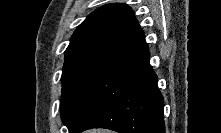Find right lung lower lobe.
Returning <instances> with one entry per match:
<instances>
[{"label":"right lung lower lobe","mask_w":221,"mask_h":133,"mask_svg":"<svg viewBox=\"0 0 221 133\" xmlns=\"http://www.w3.org/2000/svg\"><path fill=\"white\" fill-rule=\"evenodd\" d=\"M164 99L149 51L104 71L85 97L70 133L106 128L119 133H165Z\"/></svg>","instance_id":"right-lung-lower-lobe-1"}]
</instances>
